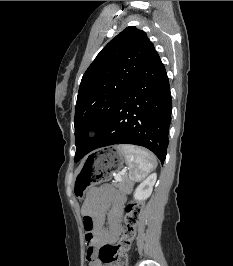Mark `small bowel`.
I'll return each mask as SVG.
<instances>
[{"label": "small bowel", "mask_w": 233, "mask_h": 266, "mask_svg": "<svg viewBox=\"0 0 233 266\" xmlns=\"http://www.w3.org/2000/svg\"><path fill=\"white\" fill-rule=\"evenodd\" d=\"M123 204L124 196L108 186L93 189L87 197L83 213L92 221L91 228L84 226L89 266H102L98 249L115 243L122 232Z\"/></svg>", "instance_id": "small-bowel-1"}]
</instances>
